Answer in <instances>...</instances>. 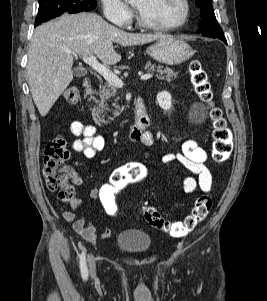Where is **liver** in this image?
Segmentation results:
<instances>
[{"mask_svg": "<svg viewBox=\"0 0 267 301\" xmlns=\"http://www.w3.org/2000/svg\"><path fill=\"white\" fill-rule=\"evenodd\" d=\"M157 34L127 33L93 13L64 14L36 28L27 62V75L33 101L46 116L73 80L74 56L96 55L104 65L121 60L113 43L143 45L163 38Z\"/></svg>", "mask_w": 267, "mask_h": 301, "instance_id": "1", "label": "liver"}]
</instances>
